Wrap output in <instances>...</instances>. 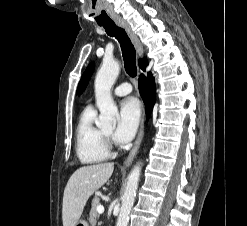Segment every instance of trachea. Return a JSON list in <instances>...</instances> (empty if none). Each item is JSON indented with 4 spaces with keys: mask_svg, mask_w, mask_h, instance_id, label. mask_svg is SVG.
<instances>
[{
    "mask_svg": "<svg viewBox=\"0 0 247 226\" xmlns=\"http://www.w3.org/2000/svg\"><path fill=\"white\" fill-rule=\"evenodd\" d=\"M99 25L103 26L109 36L115 37L118 40L122 50L125 70L129 76L136 77V50L125 30L118 27L113 21Z\"/></svg>",
    "mask_w": 247,
    "mask_h": 226,
    "instance_id": "3493384b",
    "label": "trachea"
}]
</instances>
